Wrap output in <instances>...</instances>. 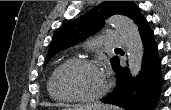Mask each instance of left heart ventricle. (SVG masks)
Here are the masks:
<instances>
[{
  "instance_id": "b2bd125f",
  "label": "left heart ventricle",
  "mask_w": 171,
  "mask_h": 110,
  "mask_svg": "<svg viewBox=\"0 0 171 110\" xmlns=\"http://www.w3.org/2000/svg\"><path fill=\"white\" fill-rule=\"evenodd\" d=\"M58 85L66 94L93 96L103 89L105 76L102 72L86 66L71 65L60 73Z\"/></svg>"
}]
</instances>
